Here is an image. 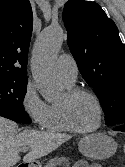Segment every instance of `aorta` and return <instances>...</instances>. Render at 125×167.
I'll list each match as a JSON object with an SVG mask.
<instances>
[{
    "mask_svg": "<svg viewBox=\"0 0 125 167\" xmlns=\"http://www.w3.org/2000/svg\"><path fill=\"white\" fill-rule=\"evenodd\" d=\"M64 37V31L60 26H50L42 31L33 51L32 76L40 94L48 102L60 96L55 60Z\"/></svg>",
    "mask_w": 125,
    "mask_h": 167,
    "instance_id": "762f6f07",
    "label": "aorta"
}]
</instances>
